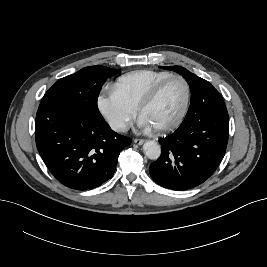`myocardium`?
Returning <instances> with one entry per match:
<instances>
[{
    "label": "myocardium",
    "instance_id": "1",
    "mask_svg": "<svg viewBox=\"0 0 267 267\" xmlns=\"http://www.w3.org/2000/svg\"><path fill=\"white\" fill-rule=\"evenodd\" d=\"M172 79H178L184 84V87H185L184 104H183L182 110L180 111L179 115L177 116V118L174 121H172L171 123H169L167 125L153 128V130L158 134L171 132V131L175 130L176 128H178L181 125V123L183 122V120L187 114V111H188V108L190 105V99H191V88H190V85H189L187 79L185 77H183L182 75H179V74H171V75L163 78L162 80L157 82L151 88V90L142 99V101L140 102V104L137 108L139 115L142 116L143 111L150 104H152L155 101V99L159 95L163 86Z\"/></svg>",
    "mask_w": 267,
    "mask_h": 267
}]
</instances>
